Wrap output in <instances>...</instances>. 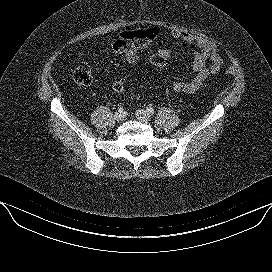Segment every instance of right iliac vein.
<instances>
[{
	"label": "right iliac vein",
	"instance_id": "1",
	"mask_svg": "<svg viewBox=\"0 0 272 272\" xmlns=\"http://www.w3.org/2000/svg\"><path fill=\"white\" fill-rule=\"evenodd\" d=\"M124 116L122 113L120 112H116L114 114V119L117 121V122H121L123 120Z\"/></svg>",
	"mask_w": 272,
	"mask_h": 272
}]
</instances>
